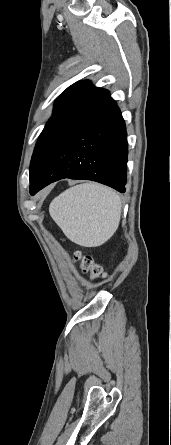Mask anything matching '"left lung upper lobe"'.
<instances>
[{"mask_svg":"<svg viewBox=\"0 0 171 445\" xmlns=\"http://www.w3.org/2000/svg\"><path fill=\"white\" fill-rule=\"evenodd\" d=\"M109 96L107 90L92 86L90 81H78L56 99L52 117L40 134L32 155L29 169L30 180L35 177L67 131Z\"/></svg>","mask_w":171,"mask_h":445,"instance_id":"5c2ea615","label":"left lung upper lobe"}]
</instances>
